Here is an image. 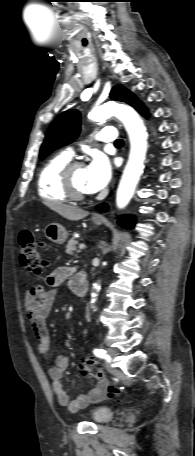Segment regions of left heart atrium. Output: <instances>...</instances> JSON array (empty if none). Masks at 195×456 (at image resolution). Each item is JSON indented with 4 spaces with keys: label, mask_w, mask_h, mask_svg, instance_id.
I'll use <instances>...</instances> for the list:
<instances>
[{
    "label": "left heart atrium",
    "mask_w": 195,
    "mask_h": 456,
    "mask_svg": "<svg viewBox=\"0 0 195 456\" xmlns=\"http://www.w3.org/2000/svg\"><path fill=\"white\" fill-rule=\"evenodd\" d=\"M85 170L86 188L89 193L101 190L111 179V164L104 155H95Z\"/></svg>",
    "instance_id": "obj_1"
}]
</instances>
